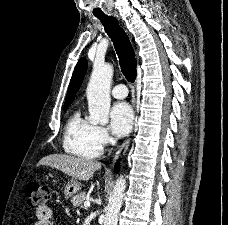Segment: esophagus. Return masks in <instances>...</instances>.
Instances as JSON below:
<instances>
[{"mask_svg":"<svg viewBox=\"0 0 228 225\" xmlns=\"http://www.w3.org/2000/svg\"><path fill=\"white\" fill-rule=\"evenodd\" d=\"M130 144V138H127L122 145L120 146L119 150L116 152L113 162H115L116 160H118V158H120L121 156H123L126 153V150L128 149Z\"/></svg>","mask_w":228,"mask_h":225,"instance_id":"1","label":"esophagus"}]
</instances>
